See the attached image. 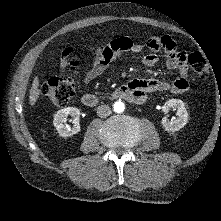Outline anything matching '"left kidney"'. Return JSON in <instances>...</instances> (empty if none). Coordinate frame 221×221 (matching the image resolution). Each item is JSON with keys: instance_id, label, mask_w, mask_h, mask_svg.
Masks as SVG:
<instances>
[{"instance_id": "1", "label": "left kidney", "mask_w": 221, "mask_h": 221, "mask_svg": "<svg viewBox=\"0 0 221 221\" xmlns=\"http://www.w3.org/2000/svg\"><path fill=\"white\" fill-rule=\"evenodd\" d=\"M176 110L177 117L169 121L167 117L162 119V127L167 132H176L183 128L188 121V111L186 109L185 103L179 99H170L165 102L162 110L165 114L169 112V110Z\"/></svg>"}]
</instances>
